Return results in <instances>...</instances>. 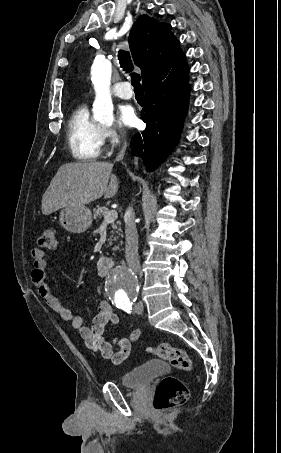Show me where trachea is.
<instances>
[{
  "label": "trachea",
  "instance_id": "trachea-1",
  "mask_svg": "<svg viewBox=\"0 0 281 453\" xmlns=\"http://www.w3.org/2000/svg\"><path fill=\"white\" fill-rule=\"evenodd\" d=\"M118 58L120 60V64L123 70L131 75V82L134 87L136 98H143L144 92L142 85L140 84L141 77L140 75L135 74L133 72V64L129 52H126L125 50H119Z\"/></svg>",
  "mask_w": 281,
  "mask_h": 453
}]
</instances>
